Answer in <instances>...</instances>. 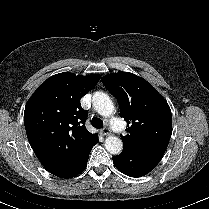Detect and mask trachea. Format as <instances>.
<instances>
[{"label":"trachea","instance_id":"3493384b","mask_svg":"<svg viewBox=\"0 0 209 209\" xmlns=\"http://www.w3.org/2000/svg\"><path fill=\"white\" fill-rule=\"evenodd\" d=\"M91 123L97 129H100L103 127V121L97 117H93Z\"/></svg>","mask_w":209,"mask_h":209}]
</instances>
